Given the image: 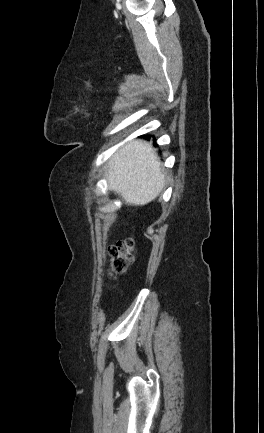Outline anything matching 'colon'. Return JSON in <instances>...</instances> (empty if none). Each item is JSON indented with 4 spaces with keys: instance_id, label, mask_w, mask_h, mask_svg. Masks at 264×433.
I'll return each instance as SVG.
<instances>
[{
    "instance_id": "obj_1",
    "label": "colon",
    "mask_w": 264,
    "mask_h": 433,
    "mask_svg": "<svg viewBox=\"0 0 264 433\" xmlns=\"http://www.w3.org/2000/svg\"><path fill=\"white\" fill-rule=\"evenodd\" d=\"M135 243L128 238L109 249L110 263L116 273H124L134 260Z\"/></svg>"
}]
</instances>
